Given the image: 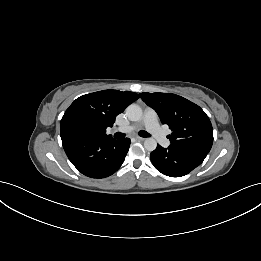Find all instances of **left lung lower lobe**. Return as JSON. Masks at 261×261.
Here are the masks:
<instances>
[{
	"instance_id": "left-lung-lower-lobe-1",
	"label": "left lung lower lobe",
	"mask_w": 261,
	"mask_h": 261,
	"mask_svg": "<svg viewBox=\"0 0 261 261\" xmlns=\"http://www.w3.org/2000/svg\"><path fill=\"white\" fill-rule=\"evenodd\" d=\"M208 153L189 147L170 145L157 148L150 153L154 167L164 175L181 177L199 166Z\"/></svg>"
}]
</instances>
